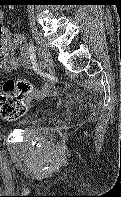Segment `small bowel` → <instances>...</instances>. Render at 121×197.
I'll return each mask as SVG.
<instances>
[{
  "mask_svg": "<svg viewBox=\"0 0 121 197\" xmlns=\"http://www.w3.org/2000/svg\"><path fill=\"white\" fill-rule=\"evenodd\" d=\"M4 13L0 11V70L12 72L19 67H29L32 64L30 51L25 37L21 33H13L2 25ZM19 47L20 55L15 56V48ZM51 89L49 82L41 88H34L31 99H42Z\"/></svg>",
  "mask_w": 121,
  "mask_h": 197,
  "instance_id": "obj_1",
  "label": "small bowel"
}]
</instances>
